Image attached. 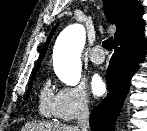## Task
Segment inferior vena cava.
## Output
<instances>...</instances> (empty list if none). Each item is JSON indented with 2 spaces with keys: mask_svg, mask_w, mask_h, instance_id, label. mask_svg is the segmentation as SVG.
Listing matches in <instances>:
<instances>
[{
  "mask_svg": "<svg viewBox=\"0 0 147 131\" xmlns=\"http://www.w3.org/2000/svg\"><path fill=\"white\" fill-rule=\"evenodd\" d=\"M77 127L81 131H89V109L87 101H82L78 106Z\"/></svg>",
  "mask_w": 147,
  "mask_h": 131,
  "instance_id": "1",
  "label": "inferior vena cava"
}]
</instances>
